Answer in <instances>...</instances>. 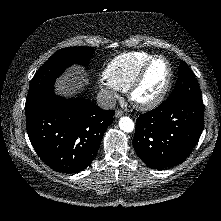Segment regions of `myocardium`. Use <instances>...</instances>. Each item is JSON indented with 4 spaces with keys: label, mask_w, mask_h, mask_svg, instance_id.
Here are the masks:
<instances>
[{
    "label": "myocardium",
    "mask_w": 221,
    "mask_h": 221,
    "mask_svg": "<svg viewBox=\"0 0 221 221\" xmlns=\"http://www.w3.org/2000/svg\"><path fill=\"white\" fill-rule=\"evenodd\" d=\"M159 59L163 60L167 65L168 73H167L165 83H164L161 91L155 97H153L150 100L141 101L136 98V92L139 89V87L141 86V84L143 83L144 78H145L150 66L153 64V62H155L156 60H159ZM172 77H173L172 66H171L170 61L166 57H164L162 55H155V56L151 57L148 61H146L144 63V65L140 68L137 75L135 76V78L131 82V84L127 90V95H128L129 101L131 102V104L135 108L142 110V111H148V110L154 109L166 97V95L170 89Z\"/></svg>",
    "instance_id": "f54148a6"
}]
</instances>
